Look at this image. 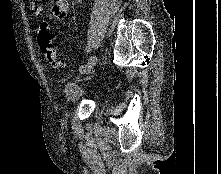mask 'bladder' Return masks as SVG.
<instances>
[{
  "instance_id": "bladder-1",
  "label": "bladder",
  "mask_w": 221,
  "mask_h": 174,
  "mask_svg": "<svg viewBox=\"0 0 221 174\" xmlns=\"http://www.w3.org/2000/svg\"><path fill=\"white\" fill-rule=\"evenodd\" d=\"M63 94L67 101L76 102L85 97L87 92L81 84L74 80H70L65 83L63 87Z\"/></svg>"
}]
</instances>
